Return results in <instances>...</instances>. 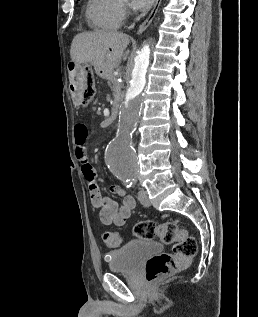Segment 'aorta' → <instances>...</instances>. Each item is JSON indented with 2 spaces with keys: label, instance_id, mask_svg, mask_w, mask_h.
Wrapping results in <instances>:
<instances>
[{
  "label": "aorta",
  "instance_id": "1",
  "mask_svg": "<svg viewBox=\"0 0 258 317\" xmlns=\"http://www.w3.org/2000/svg\"><path fill=\"white\" fill-rule=\"evenodd\" d=\"M150 48L145 45L134 61L132 77L120 106L117 135L106 152V162L111 172L119 179L132 180L139 172V160L132 145L142 107L141 93L146 84Z\"/></svg>",
  "mask_w": 258,
  "mask_h": 317
}]
</instances>
